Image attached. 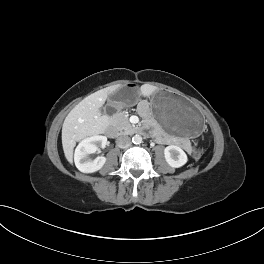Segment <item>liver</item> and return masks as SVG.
I'll list each match as a JSON object with an SVG mask.
<instances>
[{"instance_id": "1", "label": "liver", "mask_w": 264, "mask_h": 264, "mask_svg": "<svg viewBox=\"0 0 264 264\" xmlns=\"http://www.w3.org/2000/svg\"><path fill=\"white\" fill-rule=\"evenodd\" d=\"M117 87L99 90L76 105L67 115L62 127V146L69 163L73 161V150L76 142L92 135L103 134L109 126V117L103 115L100 108L105 103L109 94ZM158 90L151 85H143L140 94L150 96Z\"/></svg>"}]
</instances>
